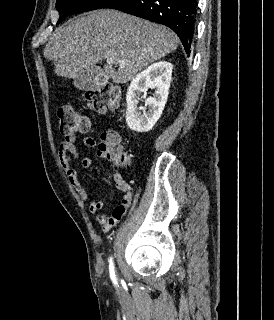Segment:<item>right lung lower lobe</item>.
<instances>
[{"label":"right lung lower lobe","instance_id":"98d812e1","mask_svg":"<svg viewBox=\"0 0 274 320\" xmlns=\"http://www.w3.org/2000/svg\"><path fill=\"white\" fill-rule=\"evenodd\" d=\"M103 8L120 10L171 28L191 52L197 18V0H112Z\"/></svg>","mask_w":274,"mask_h":320}]
</instances>
